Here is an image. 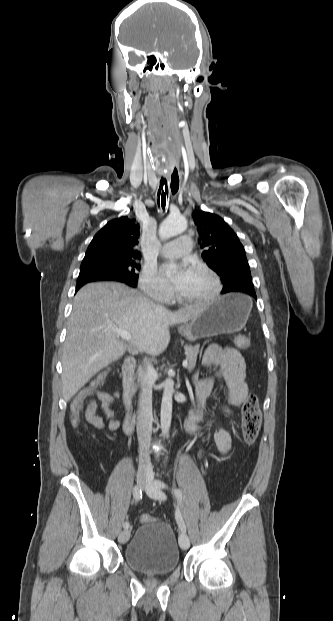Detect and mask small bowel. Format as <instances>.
Returning a JSON list of instances; mask_svg holds the SVG:
<instances>
[{"instance_id": "c3829d8e", "label": "small bowel", "mask_w": 333, "mask_h": 621, "mask_svg": "<svg viewBox=\"0 0 333 621\" xmlns=\"http://www.w3.org/2000/svg\"><path fill=\"white\" fill-rule=\"evenodd\" d=\"M204 367H213L215 372L199 380H194L195 395L199 407L211 395L217 380H223L228 387V405H241L248 395V385L246 382V363L242 355L233 348H220L218 346L209 347L202 358ZM97 397L100 407L108 420L105 424L102 417L96 414L97 402L89 400L85 409L86 421L99 430L114 431L119 428L120 423L116 419L111 405L118 394L111 395L104 391H99ZM200 409V408H199ZM192 412L185 423V430L191 434L194 431V422L199 417L200 410ZM224 413L231 416L230 409L224 408ZM216 445L221 454H226L231 448V435L225 430H221L215 437ZM202 455L200 454V457Z\"/></svg>"}]
</instances>
